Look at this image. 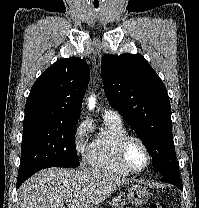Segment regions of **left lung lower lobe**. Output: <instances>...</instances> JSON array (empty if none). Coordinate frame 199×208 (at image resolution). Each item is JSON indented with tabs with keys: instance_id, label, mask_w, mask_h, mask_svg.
Segmentation results:
<instances>
[{
	"instance_id": "obj_1",
	"label": "left lung lower lobe",
	"mask_w": 199,
	"mask_h": 208,
	"mask_svg": "<svg viewBox=\"0 0 199 208\" xmlns=\"http://www.w3.org/2000/svg\"><path fill=\"white\" fill-rule=\"evenodd\" d=\"M161 181L174 184L182 190V182L180 179V172H172L162 175Z\"/></svg>"
}]
</instances>
